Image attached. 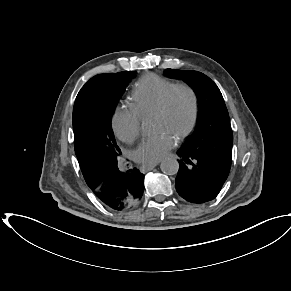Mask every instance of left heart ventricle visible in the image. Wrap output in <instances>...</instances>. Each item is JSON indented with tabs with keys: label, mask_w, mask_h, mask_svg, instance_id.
<instances>
[{
	"label": "left heart ventricle",
	"mask_w": 291,
	"mask_h": 291,
	"mask_svg": "<svg viewBox=\"0 0 291 291\" xmlns=\"http://www.w3.org/2000/svg\"><path fill=\"white\" fill-rule=\"evenodd\" d=\"M191 119V101L189 96L179 91L175 94L171 114L168 117H154V125L158 132H169L176 136L183 130Z\"/></svg>",
	"instance_id": "left-heart-ventricle-1"
}]
</instances>
